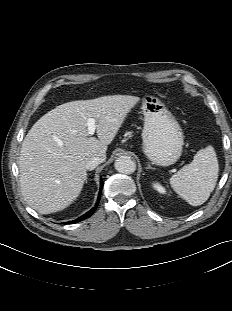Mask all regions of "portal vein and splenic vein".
Listing matches in <instances>:
<instances>
[{
	"instance_id": "1",
	"label": "portal vein and splenic vein",
	"mask_w": 232,
	"mask_h": 311,
	"mask_svg": "<svg viewBox=\"0 0 232 311\" xmlns=\"http://www.w3.org/2000/svg\"><path fill=\"white\" fill-rule=\"evenodd\" d=\"M87 127H88V134L93 135L96 130V119L94 118H88L87 119Z\"/></svg>"
}]
</instances>
